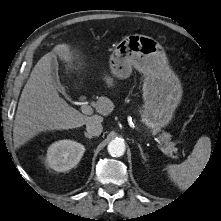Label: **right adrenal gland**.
I'll return each mask as SVG.
<instances>
[{"mask_svg": "<svg viewBox=\"0 0 221 221\" xmlns=\"http://www.w3.org/2000/svg\"><path fill=\"white\" fill-rule=\"evenodd\" d=\"M84 135L87 137V138H89V139H91V138H93L91 135H89L87 132H84Z\"/></svg>", "mask_w": 221, "mask_h": 221, "instance_id": "obj_1", "label": "right adrenal gland"}]
</instances>
